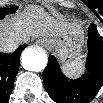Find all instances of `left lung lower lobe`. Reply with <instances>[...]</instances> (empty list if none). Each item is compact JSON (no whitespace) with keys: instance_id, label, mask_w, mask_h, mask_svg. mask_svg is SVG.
<instances>
[{"instance_id":"left-lung-lower-lobe-1","label":"left lung lower lobe","mask_w":103,"mask_h":103,"mask_svg":"<svg viewBox=\"0 0 103 103\" xmlns=\"http://www.w3.org/2000/svg\"><path fill=\"white\" fill-rule=\"evenodd\" d=\"M88 73L76 80H68L57 60L50 55L43 72L44 87L50 98L57 103H89L103 84V44L94 24L88 29Z\"/></svg>"}]
</instances>
